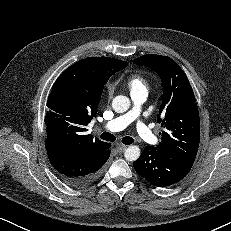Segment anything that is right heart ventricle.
<instances>
[{
	"label": "right heart ventricle",
	"instance_id": "e07e8e85",
	"mask_svg": "<svg viewBox=\"0 0 231 231\" xmlns=\"http://www.w3.org/2000/svg\"><path fill=\"white\" fill-rule=\"evenodd\" d=\"M126 86L130 94L146 91L148 92V84L146 79L140 74H132L126 79Z\"/></svg>",
	"mask_w": 231,
	"mask_h": 231
}]
</instances>
